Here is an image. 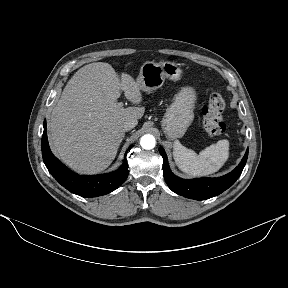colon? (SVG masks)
Wrapping results in <instances>:
<instances>
[{
    "label": "colon",
    "mask_w": 288,
    "mask_h": 288,
    "mask_svg": "<svg viewBox=\"0 0 288 288\" xmlns=\"http://www.w3.org/2000/svg\"><path fill=\"white\" fill-rule=\"evenodd\" d=\"M225 100L219 93H212L207 104L202 109L203 128L210 137L222 135L226 130L223 121Z\"/></svg>",
    "instance_id": "1"
}]
</instances>
